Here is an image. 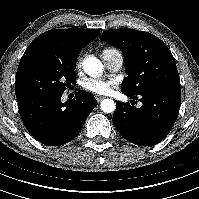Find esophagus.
<instances>
[{"instance_id":"34e87169","label":"esophagus","mask_w":199,"mask_h":199,"mask_svg":"<svg viewBox=\"0 0 199 199\" xmlns=\"http://www.w3.org/2000/svg\"><path fill=\"white\" fill-rule=\"evenodd\" d=\"M103 99H104V97L99 96V95H96V100H97L98 102H100V101L103 100Z\"/></svg>"}]
</instances>
